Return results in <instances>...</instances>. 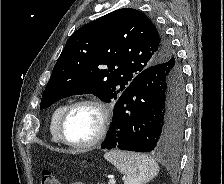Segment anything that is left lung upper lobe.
Here are the masks:
<instances>
[{"mask_svg": "<svg viewBox=\"0 0 224 184\" xmlns=\"http://www.w3.org/2000/svg\"><path fill=\"white\" fill-rule=\"evenodd\" d=\"M175 60L170 43L142 12L123 8L75 31L56 62L40 108L78 94L117 100L130 82L153 65Z\"/></svg>", "mask_w": 224, "mask_h": 184, "instance_id": "left-lung-upper-lobe-1", "label": "left lung upper lobe"}]
</instances>
